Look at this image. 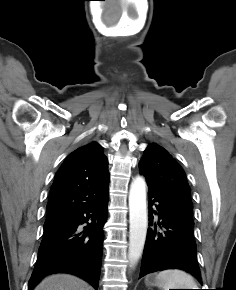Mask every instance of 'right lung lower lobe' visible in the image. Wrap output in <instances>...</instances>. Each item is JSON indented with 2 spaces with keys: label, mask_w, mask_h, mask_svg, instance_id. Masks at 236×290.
Listing matches in <instances>:
<instances>
[{
  "label": "right lung lower lobe",
  "mask_w": 236,
  "mask_h": 290,
  "mask_svg": "<svg viewBox=\"0 0 236 290\" xmlns=\"http://www.w3.org/2000/svg\"><path fill=\"white\" fill-rule=\"evenodd\" d=\"M107 204L108 192L98 203L44 228L28 290H32L44 276L57 272L74 274L98 288ZM88 220L91 223L82 230L79 225Z\"/></svg>",
  "instance_id": "right-lung-lower-lobe-1"
}]
</instances>
